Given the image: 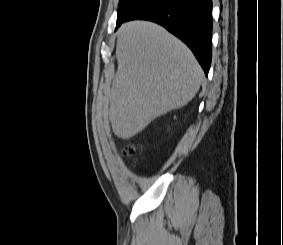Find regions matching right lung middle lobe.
I'll list each match as a JSON object with an SVG mask.
<instances>
[{"label": "right lung middle lobe", "mask_w": 283, "mask_h": 245, "mask_svg": "<svg viewBox=\"0 0 283 245\" xmlns=\"http://www.w3.org/2000/svg\"><path fill=\"white\" fill-rule=\"evenodd\" d=\"M148 0H120L117 12V24L123 22L137 8L143 5Z\"/></svg>", "instance_id": "1"}]
</instances>
